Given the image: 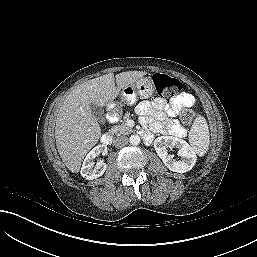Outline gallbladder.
I'll use <instances>...</instances> for the list:
<instances>
[{
  "label": "gallbladder",
  "mask_w": 257,
  "mask_h": 257,
  "mask_svg": "<svg viewBox=\"0 0 257 257\" xmlns=\"http://www.w3.org/2000/svg\"><path fill=\"white\" fill-rule=\"evenodd\" d=\"M90 109H91V113L93 114V116L100 122L104 121V112L102 110L101 107L95 105V104H91L90 105Z\"/></svg>",
  "instance_id": "bac80fb5"
}]
</instances>
